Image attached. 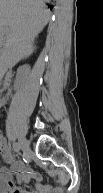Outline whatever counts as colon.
I'll return each mask as SVG.
<instances>
[{"mask_svg": "<svg viewBox=\"0 0 103 193\" xmlns=\"http://www.w3.org/2000/svg\"><path fill=\"white\" fill-rule=\"evenodd\" d=\"M14 193H22L20 190L16 189Z\"/></svg>", "mask_w": 103, "mask_h": 193, "instance_id": "obj_1", "label": "colon"}]
</instances>
